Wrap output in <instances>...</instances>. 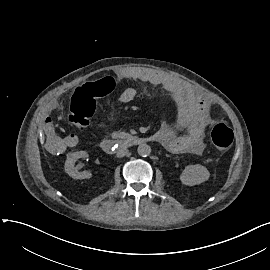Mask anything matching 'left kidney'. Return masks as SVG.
I'll return each mask as SVG.
<instances>
[{
    "label": "left kidney",
    "mask_w": 270,
    "mask_h": 270,
    "mask_svg": "<svg viewBox=\"0 0 270 270\" xmlns=\"http://www.w3.org/2000/svg\"><path fill=\"white\" fill-rule=\"evenodd\" d=\"M210 173L206 167L196 164L188 165L180 176V180L183 184L193 186L201 184L209 179Z\"/></svg>",
    "instance_id": "obj_1"
}]
</instances>
